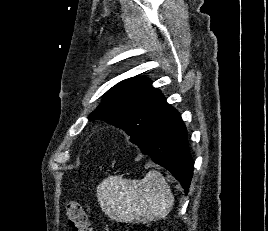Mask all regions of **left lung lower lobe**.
<instances>
[{
  "instance_id": "1",
  "label": "left lung lower lobe",
  "mask_w": 268,
  "mask_h": 231,
  "mask_svg": "<svg viewBox=\"0 0 268 231\" xmlns=\"http://www.w3.org/2000/svg\"><path fill=\"white\" fill-rule=\"evenodd\" d=\"M135 144L153 162L170 171L181 183L185 193H188L194 164L187 130L178 111L173 108L144 140Z\"/></svg>"
}]
</instances>
